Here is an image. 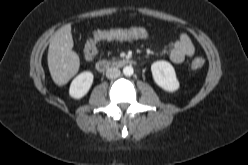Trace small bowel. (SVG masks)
<instances>
[{
  "mask_svg": "<svg viewBox=\"0 0 248 165\" xmlns=\"http://www.w3.org/2000/svg\"><path fill=\"white\" fill-rule=\"evenodd\" d=\"M125 30L134 31L138 33L134 36L123 38L125 40L145 39L149 35L148 31L142 27H134V28H129ZM119 40H122V39H119ZM91 42H92V38L90 36L86 42V45L90 44ZM194 52H195V49L189 36L186 33H181L179 37L177 38V40L174 42L169 52V59L171 60V62L175 64H181L184 62L185 59L192 57L194 55Z\"/></svg>",
  "mask_w": 248,
  "mask_h": 165,
  "instance_id": "1",
  "label": "small bowel"
}]
</instances>
